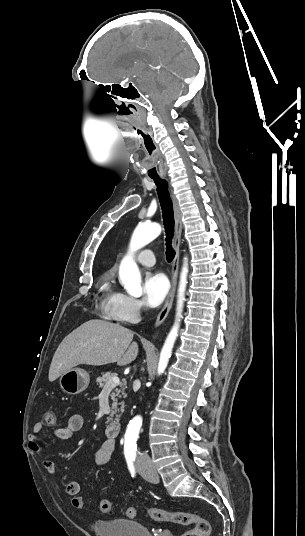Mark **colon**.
I'll return each mask as SVG.
<instances>
[{"label":"colon","instance_id":"colon-1","mask_svg":"<svg viewBox=\"0 0 305 536\" xmlns=\"http://www.w3.org/2000/svg\"><path fill=\"white\" fill-rule=\"evenodd\" d=\"M54 412H48L45 417V422L48 424L53 423ZM85 495L83 493L74 495L70 503L74 509L80 513L87 512L84 506L87 504L84 502ZM145 512L156 521H166L181 525H193L192 529L188 531L185 536H211V525L207 519L194 513L187 512H167L161 509H157L154 506L146 505ZM100 510L103 513H111L113 511V503L110 499H102L100 501ZM136 508L129 507L126 509L125 514L128 518H132L136 515Z\"/></svg>","mask_w":305,"mask_h":536}]
</instances>
